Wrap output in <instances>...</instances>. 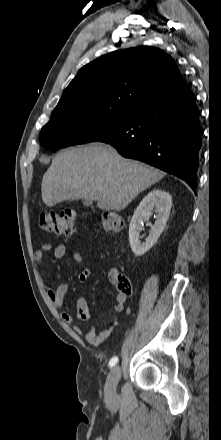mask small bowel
<instances>
[{
	"label": "small bowel",
	"instance_id": "1",
	"mask_svg": "<svg viewBox=\"0 0 221 440\" xmlns=\"http://www.w3.org/2000/svg\"><path fill=\"white\" fill-rule=\"evenodd\" d=\"M52 246L49 243L43 245L42 249L37 250L34 253V260L37 265H41L44 260V252L51 250ZM66 254V245L58 244L54 248V256L56 259H62ZM72 259L75 263L81 264L84 262V256L81 252L76 251L72 255ZM90 276V269L83 268L78 275V281L84 283ZM111 278H114V273H111ZM69 292V285L67 283H61L56 289L48 288L47 296L50 299L55 309H61L64 305V299ZM126 297L117 294L116 301L113 305V310L116 313H120L124 310V304ZM89 307L87 300L84 296H79L76 301V316L75 318L68 312H61V320L68 325L74 323L75 319L80 322H85L89 319ZM118 325V318L114 317L103 329L97 330L95 327H91L85 335L86 341L92 346H99L105 340L109 338L114 328ZM73 329L76 333H81L82 328L79 325H74Z\"/></svg>",
	"mask_w": 221,
	"mask_h": 440
}]
</instances>
